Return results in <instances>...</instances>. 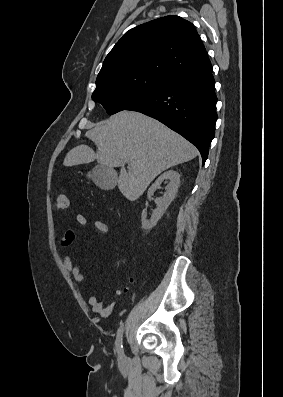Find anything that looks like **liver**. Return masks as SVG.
Masks as SVG:
<instances>
[{
  "instance_id": "6515ba94",
  "label": "liver",
  "mask_w": 283,
  "mask_h": 397,
  "mask_svg": "<svg viewBox=\"0 0 283 397\" xmlns=\"http://www.w3.org/2000/svg\"><path fill=\"white\" fill-rule=\"evenodd\" d=\"M86 136L95 143L97 152L87 145L76 146L67 153L63 165L96 160L112 169L121 167L118 188L131 201L138 199L158 174L198 155L196 147L185 138L135 111L124 110L112 115Z\"/></svg>"
}]
</instances>
